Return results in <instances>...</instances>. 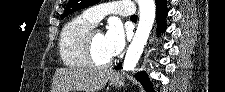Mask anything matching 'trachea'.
<instances>
[{
	"label": "trachea",
	"mask_w": 225,
	"mask_h": 92,
	"mask_svg": "<svg viewBox=\"0 0 225 92\" xmlns=\"http://www.w3.org/2000/svg\"><path fill=\"white\" fill-rule=\"evenodd\" d=\"M131 18L132 19H137V15L134 14V15L131 16Z\"/></svg>",
	"instance_id": "3493384b"
}]
</instances>
